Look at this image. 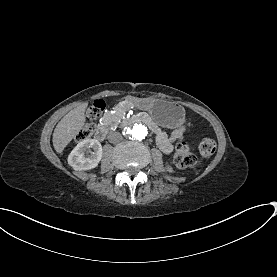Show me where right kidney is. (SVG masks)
<instances>
[{"label": "right kidney", "instance_id": "right-kidney-1", "mask_svg": "<svg viewBox=\"0 0 277 277\" xmlns=\"http://www.w3.org/2000/svg\"><path fill=\"white\" fill-rule=\"evenodd\" d=\"M102 153V146L99 141L84 139L69 154L68 164L74 170H89L98 165L102 158Z\"/></svg>", "mask_w": 277, "mask_h": 277}]
</instances>
